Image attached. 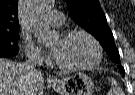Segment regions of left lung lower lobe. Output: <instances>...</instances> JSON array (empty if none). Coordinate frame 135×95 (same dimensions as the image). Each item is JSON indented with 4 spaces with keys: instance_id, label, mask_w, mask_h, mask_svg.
<instances>
[{
    "instance_id": "1",
    "label": "left lung lower lobe",
    "mask_w": 135,
    "mask_h": 95,
    "mask_svg": "<svg viewBox=\"0 0 135 95\" xmlns=\"http://www.w3.org/2000/svg\"><path fill=\"white\" fill-rule=\"evenodd\" d=\"M122 71V74L124 75V70H121Z\"/></svg>"
}]
</instances>
